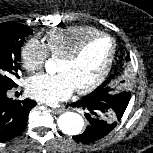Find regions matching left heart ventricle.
Here are the masks:
<instances>
[{
  "mask_svg": "<svg viewBox=\"0 0 153 153\" xmlns=\"http://www.w3.org/2000/svg\"><path fill=\"white\" fill-rule=\"evenodd\" d=\"M111 52V42L107 38L92 41L73 62L61 59L57 66L59 73L68 76L74 89L92 83L102 72Z\"/></svg>",
  "mask_w": 153,
  "mask_h": 153,
  "instance_id": "b2bd125f",
  "label": "left heart ventricle"
}]
</instances>
